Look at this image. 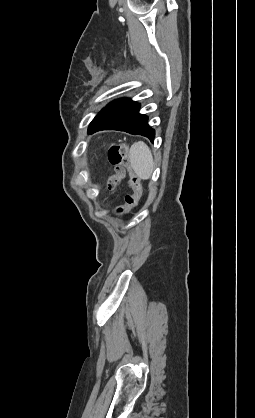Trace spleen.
<instances>
[{
  "label": "spleen",
  "mask_w": 255,
  "mask_h": 418,
  "mask_svg": "<svg viewBox=\"0 0 255 418\" xmlns=\"http://www.w3.org/2000/svg\"><path fill=\"white\" fill-rule=\"evenodd\" d=\"M131 167L136 175L148 180L154 170L153 156L149 147L143 141L134 143L129 151Z\"/></svg>",
  "instance_id": "obj_1"
}]
</instances>
